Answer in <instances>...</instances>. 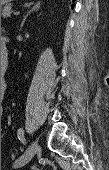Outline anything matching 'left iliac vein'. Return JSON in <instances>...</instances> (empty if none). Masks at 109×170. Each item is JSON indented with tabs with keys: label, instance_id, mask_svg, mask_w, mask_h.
I'll return each instance as SVG.
<instances>
[{
	"label": "left iliac vein",
	"instance_id": "4c4485c4",
	"mask_svg": "<svg viewBox=\"0 0 109 170\" xmlns=\"http://www.w3.org/2000/svg\"><path fill=\"white\" fill-rule=\"evenodd\" d=\"M38 149V145L36 141H32L26 150V152L14 163V168H20L26 165L32 158L35 156Z\"/></svg>",
	"mask_w": 109,
	"mask_h": 170
}]
</instances>
